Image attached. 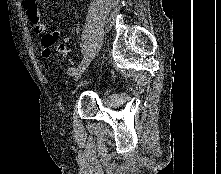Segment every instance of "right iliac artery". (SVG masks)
I'll list each match as a JSON object with an SVG mask.
<instances>
[{
	"label": "right iliac artery",
	"mask_w": 221,
	"mask_h": 174,
	"mask_svg": "<svg viewBox=\"0 0 221 174\" xmlns=\"http://www.w3.org/2000/svg\"><path fill=\"white\" fill-rule=\"evenodd\" d=\"M75 72H76V69H75V68H70V69L68 70V74H69V75H74Z\"/></svg>",
	"instance_id": "obj_1"
}]
</instances>
